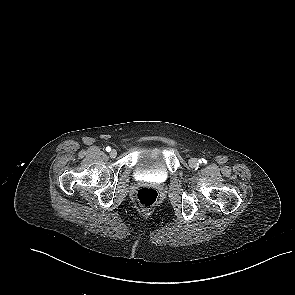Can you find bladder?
Segmentation results:
<instances>
[{"label":"bladder","mask_w":295,"mask_h":295,"mask_svg":"<svg viewBox=\"0 0 295 295\" xmlns=\"http://www.w3.org/2000/svg\"><path fill=\"white\" fill-rule=\"evenodd\" d=\"M135 171L145 176L167 178L168 169L164 154L158 149H145L137 159Z\"/></svg>","instance_id":"bladder-1"}]
</instances>
